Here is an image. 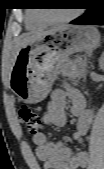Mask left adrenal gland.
Returning <instances> with one entry per match:
<instances>
[{
  "label": "left adrenal gland",
  "mask_w": 104,
  "mask_h": 169,
  "mask_svg": "<svg viewBox=\"0 0 104 169\" xmlns=\"http://www.w3.org/2000/svg\"><path fill=\"white\" fill-rule=\"evenodd\" d=\"M90 56H91V53L88 54V57H90Z\"/></svg>",
  "instance_id": "1"
}]
</instances>
